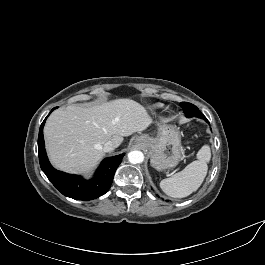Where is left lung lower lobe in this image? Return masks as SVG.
<instances>
[{
  "label": "left lung lower lobe",
  "mask_w": 265,
  "mask_h": 265,
  "mask_svg": "<svg viewBox=\"0 0 265 265\" xmlns=\"http://www.w3.org/2000/svg\"><path fill=\"white\" fill-rule=\"evenodd\" d=\"M196 117L201 118V119H204V120L207 121L206 117H205L203 114H201V115H199V116H196ZM207 122H208V121H207Z\"/></svg>",
  "instance_id": "0a47b994"
}]
</instances>
